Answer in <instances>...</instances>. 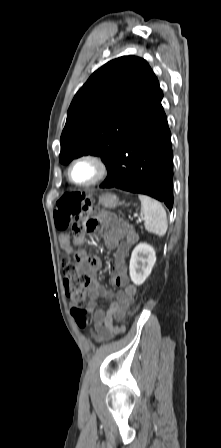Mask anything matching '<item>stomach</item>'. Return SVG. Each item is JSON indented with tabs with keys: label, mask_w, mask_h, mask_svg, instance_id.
<instances>
[{
	"label": "stomach",
	"mask_w": 221,
	"mask_h": 448,
	"mask_svg": "<svg viewBox=\"0 0 221 448\" xmlns=\"http://www.w3.org/2000/svg\"><path fill=\"white\" fill-rule=\"evenodd\" d=\"M99 203L105 208L112 209L119 205V199L114 194L106 193L99 198Z\"/></svg>",
	"instance_id": "1"
}]
</instances>
